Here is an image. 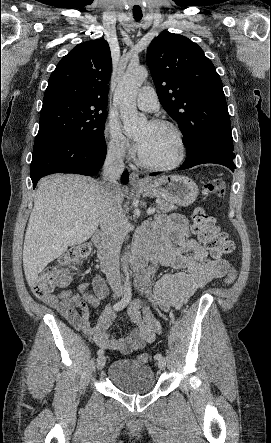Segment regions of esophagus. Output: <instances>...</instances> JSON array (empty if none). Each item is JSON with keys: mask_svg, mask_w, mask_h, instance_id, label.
I'll return each mask as SVG.
<instances>
[{"mask_svg": "<svg viewBox=\"0 0 271 443\" xmlns=\"http://www.w3.org/2000/svg\"><path fill=\"white\" fill-rule=\"evenodd\" d=\"M129 178H130V184L133 186L144 185L146 183L144 180H141L139 178V174L136 172H131Z\"/></svg>", "mask_w": 271, "mask_h": 443, "instance_id": "1", "label": "esophagus"}]
</instances>
